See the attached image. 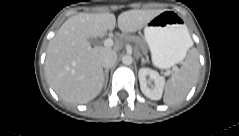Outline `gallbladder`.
Instances as JSON below:
<instances>
[{
    "label": "gallbladder",
    "instance_id": "gallbladder-1",
    "mask_svg": "<svg viewBox=\"0 0 239 136\" xmlns=\"http://www.w3.org/2000/svg\"><path fill=\"white\" fill-rule=\"evenodd\" d=\"M89 41H90L91 43H95V39H93V38L89 39Z\"/></svg>",
    "mask_w": 239,
    "mask_h": 136
}]
</instances>
